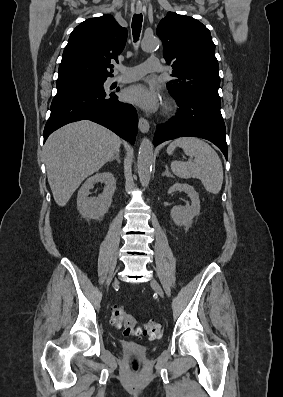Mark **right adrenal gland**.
Wrapping results in <instances>:
<instances>
[{
  "instance_id": "right-adrenal-gland-1",
  "label": "right adrenal gland",
  "mask_w": 283,
  "mask_h": 397,
  "mask_svg": "<svg viewBox=\"0 0 283 397\" xmlns=\"http://www.w3.org/2000/svg\"><path fill=\"white\" fill-rule=\"evenodd\" d=\"M119 152L113 157V158H111L110 160H109V162H112L113 160H117V162L118 163H120L121 161H120V158H119Z\"/></svg>"
}]
</instances>
